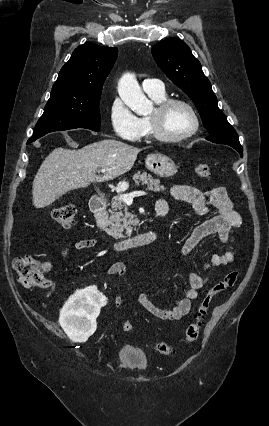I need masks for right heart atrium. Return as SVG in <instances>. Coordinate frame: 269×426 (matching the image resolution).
<instances>
[{
  "instance_id": "1",
  "label": "right heart atrium",
  "mask_w": 269,
  "mask_h": 426,
  "mask_svg": "<svg viewBox=\"0 0 269 426\" xmlns=\"http://www.w3.org/2000/svg\"><path fill=\"white\" fill-rule=\"evenodd\" d=\"M109 122L114 134L123 140L136 141L142 136L140 119L118 96L110 101Z\"/></svg>"
}]
</instances>
